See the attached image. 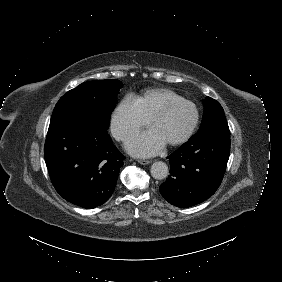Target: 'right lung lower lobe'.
<instances>
[{
    "instance_id": "obj_1",
    "label": "right lung lower lobe",
    "mask_w": 282,
    "mask_h": 282,
    "mask_svg": "<svg viewBox=\"0 0 282 282\" xmlns=\"http://www.w3.org/2000/svg\"><path fill=\"white\" fill-rule=\"evenodd\" d=\"M107 129L79 112L49 125L44 157L51 182L64 199L86 209L110 198L124 164Z\"/></svg>"
}]
</instances>
